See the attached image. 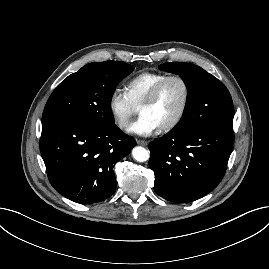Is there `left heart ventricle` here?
<instances>
[{
  "label": "left heart ventricle",
  "mask_w": 269,
  "mask_h": 269,
  "mask_svg": "<svg viewBox=\"0 0 269 269\" xmlns=\"http://www.w3.org/2000/svg\"><path fill=\"white\" fill-rule=\"evenodd\" d=\"M183 102V85L179 81L173 80L164 86L152 105L141 108L139 112L141 115L150 117L160 128L177 116Z\"/></svg>",
  "instance_id": "1"
}]
</instances>
